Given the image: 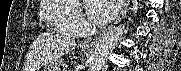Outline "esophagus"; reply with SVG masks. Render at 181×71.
<instances>
[{"instance_id":"34e87169","label":"esophagus","mask_w":181,"mask_h":71,"mask_svg":"<svg viewBox=\"0 0 181 71\" xmlns=\"http://www.w3.org/2000/svg\"><path fill=\"white\" fill-rule=\"evenodd\" d=\"M129 0H125L123 2V6L119 12V15L117 16V18L115 19V21L108 27V29L112 28L113 26H115L116 24H118L125 16L126 12H127V6L129 4ZM107 31V29L105 30ZM105 31L100 34L99 36L93 37V38H89L87 40L84 41L83 46L85 47H89V48H94L97 43L99 42L100 38L103 36V34L105 33Z\"/></svg>"}]
</instances>
